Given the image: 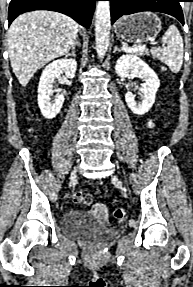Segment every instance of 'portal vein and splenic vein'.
Returning <instances> with one entry per match:
<instances>
[{"mask_svg": "<svg viewBox=\"0 0 193 287\" xmlns=\"http://www.w3.org/2000/svg\"><path fill=\"white\" fill-rule=\"evenodd\" d=\"M123 49H124L125 51L134 52V51H137V50H140V49H145V45L136 46V47H133V48H128L127 45H123Z\"/></svg>", "mask_w": 193, "mask_h": 287, "instance_id": "portal-vein-and-splenic-vein-1", "label": "portal vein and splenic vein"}]
</instances>
